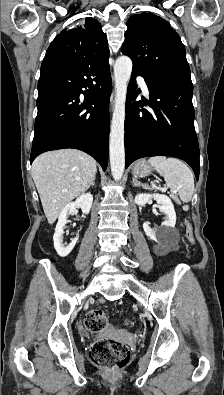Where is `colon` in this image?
Masks as SVG:
<instances>
[{
	"instance_id": "obj_1",
	"label": "colon",
	"mask_w": 224,
	"mask_h": 395,
	"mask_svg": "<svg viewBox=\"0 0 224 395\" xmlns=\"http://www.w3.org/2000/svg\"><path fill=\"white\" fill-rule=\"evenodd\" d=\"M186 238L194 242L192 228L188 225ZM85 327L92 333L101 332L108 324V316L102 309H94L87 313L84 319ZM126 324H130L126 321ZM130 348L128 345L112 339H101L93 343L91 347L92 361L110 370L124 368L130 359Z\"/></svg>"
}]
</instances>
